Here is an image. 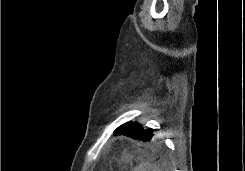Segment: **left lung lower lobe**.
<instances>
[{
	"label": "left lung lower lobe",
	"mask_w": 245,
	"mask_h": 171,
	"mask_svg": "<svg viewBox=\"0 0 245 171\" xmlns=\"http://www.w3.org/2000/svg\"><path fill=\"white\" fill-rule=\"evenodd\" d=\"M117 135L128 136L135 140L150 141L152 139V131L150 129H143L139 123L129 122L119 126L115 131Z\"/></svg>",
	"instance_id": "left-lung-lower-lobe-1"
}]
</instances>
